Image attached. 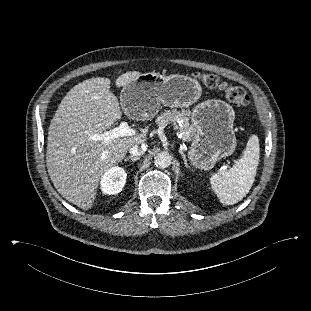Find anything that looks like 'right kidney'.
Returning a JSON list of instances; mask_svg holds the SVG:
<instances>
[{
  "mask_svg": "<svg viewBox=\"0 0 311 311\" xmlns=\"http://www.w3.org/2000/svg\"><path fill=\"white\" fill-rule=\"evenodd\" d=\"M127 174L122 167L109 168L101 178V190L104 194L114 195L122 191Z\"/></svg>",
  "mask_w": 311,
  "mask_h": 311,
  "instance_id": "obj_1",
  "label": "right kidney"
}]
</instances>
